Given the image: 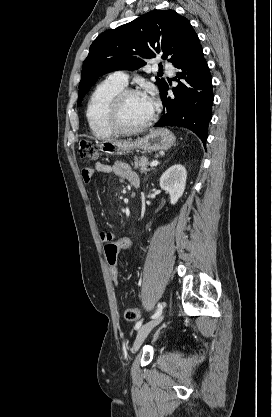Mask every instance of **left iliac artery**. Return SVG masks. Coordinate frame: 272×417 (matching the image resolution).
Instances as JSON below:
<instances>
[{"instance_id": "1", "label": "left iliac artery", "mask_w": 272, "mask_h": 417, "mask_svg": "<svg viewBox=\"0 0 272 417\" xmlns=\"http://www.w3.org/2000/svg\"><path fill=\"white\" fill-rule=\"evenodd\" d=\"M162 309H163L162 304H161V303H158V305H157V310H156V312H155V313L151 316V318H152V319H155V318L159 317V316L161 315V313H162ZM142 322H143V320H139V321L135 324V329H136V330H138V329L141 327Z\"/></svg>"}]
</instances>
